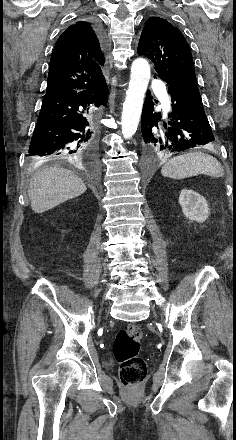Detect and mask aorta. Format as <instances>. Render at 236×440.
Here are the masks:
<instances>
[{
  "instance_id": "aorta-1",
  "label": "aorta",
  "mask_w": 236,
  "mask_h": 440,
  "mask_svg": "<svg viewBox=\"0 0 236 440\" xmlns=\"http://www.w3.org/2000/svg\"><path fill=\"white\" fill-rule=\"evenodd\" d=\"M150 79V65L144 58L132 62L129 86L121 116L122 135L130 139L137 131L143 101Z\"/></svg>"
}]
</instances>
